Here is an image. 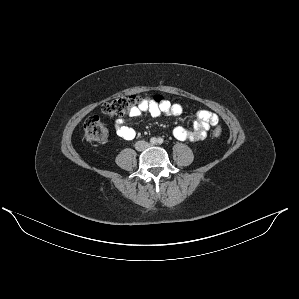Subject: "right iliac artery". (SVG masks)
Listing matches in <instances>:
<instances>
[{
    "instance_id": "1",
    "label": "right iliac artery",
    "mask_w": 299,
    "mask_h": 299,
    "mask_svg": "<svg viewBox=\"0 0 299 299\" xmlns=\"http://www.w3.org/2000/svg\"><path fill=\"white\" fill-rule=\"evenodd\" d=\"M156 142H157V139L155 137L150 139V144L154 145V144H156Z\"/></svg>"
}]
</instances>
